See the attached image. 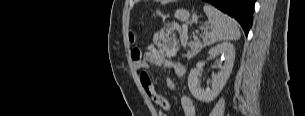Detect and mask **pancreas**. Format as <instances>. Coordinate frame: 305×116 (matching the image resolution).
<instances>
[{
  "label": "pancreas",
  "mask_w": 305,
  "mask_h": 116,
  "mask_svg": "<svg viewBox=\"0 0 305 116\" xmlns=\"http://www.w3.org/2000/svg\"><path fill=\"white\" fill-rule=\"evenodd\" d=\"M187 45L190 49L187 51V54H186V57L188 59L196 56L203 48V45L199 40L190 41Z\"/></svg>",
  "instance_id": "1"
}]
</instances>
